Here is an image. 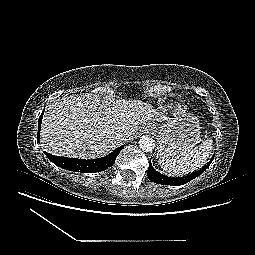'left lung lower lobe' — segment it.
Here are the masks:
<instances>
[{
	"mask_svg": "<svg viewBox=\"0 0 255 255\" xmlns=\"http://www.w3.org/2000/svg\"><path fill=\"white\" fill-rule=\"evenodd\" d=\"M213 159H214V156L211 159V161L209 163H207V165H205L202 169H200L199 171L194 172L192 174H189L187 176H183V177H167L165 175H162L161 173L156 171L153 168L152 164L150 163L147 175L151 181L158 183V184L173 185V186L183 185V184H186L189 181L193 180L194 178L199 176L201 173H203L210 166Z\"/></svg>",
	"mask_w": 255,
	"mask_h": 255,
	"instance_id": "obj_1",
	"label": "left lung lower lobe"
}]
</instances>
